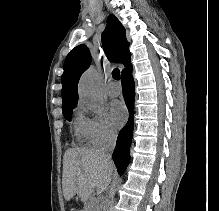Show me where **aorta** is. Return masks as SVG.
<instances>
[{
	"instance_id": "1",
	"label": "aorta",
	"mask_w": 219,
	"mask_h": 211,
	"mask_svg": "<svg viewBox=\"0 0 219 211\" xmlns=\"http://www.w3.org/2000/svg\"><path fill=\"white\" fill-rule=\"evenodd\" d=\"M80 98L93 110L100 108L102 104V91L98 85V75L95 69L90 68L80 78L79 85ZM110 199L106 197L99 205L98 211H108Z\"/></svg>"
}]
</instances>
